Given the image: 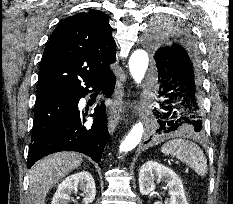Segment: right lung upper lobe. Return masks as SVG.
Returning a JSON list of instances; mask_svg holds the SVG:
<instances>
[{
	"label": "right lung upper lobe",
	"mask_w": 233,
	"mask_h": 204,
	"mask_svg": "<svg viewBox=\"0 0 233 204\" xmlns=\"http://www.w3.org/2000/svg\"><path fill=\"white\" fill-rule=\"evenodd\" d=\"M116 46L106 16L97 10L64 19L52 33L39 68L36 102L76 96L112 72Z\"/></svg>",
	"instance_id": "obj_1"
}]
</instances>
